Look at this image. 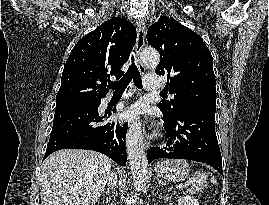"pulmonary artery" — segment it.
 <instances>
[{
    "label": "pulmonary artery",
    "mask_w": 269,
    "mask_h": 205,
    "mask_svg": "<svg viewBox=\"0 0 269 205\" xmlns=\"http://www.w3.org/2000/svg\"><path fill=\"white\" fill-rule=\"evenodd\" d=\"M143 83L145 87L150 90L163 88L162 78L157 76L145 75Z\"/></svg>",
    "instance_id": "obj_1"
}]
</instances>
